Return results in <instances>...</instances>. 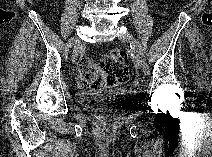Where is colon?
Segmentation results:
<instances>
[{"label": "colon", "instance_id": "colon-1", "mask_svg": "<svg viewBox=\"0 0 212 157\" xmlns=\"http://www.w3.org/2000/svg\"><path fill=\"white\" fill-rule=\"evenodd\" d=\"M80 66L78 80L82 88L97 90L118 86L129 79L127 54L119 48L111 49L99 63L86 60Z\"/></svg>", "mask_w": 212, "mask_h": 157}]
</instances>
